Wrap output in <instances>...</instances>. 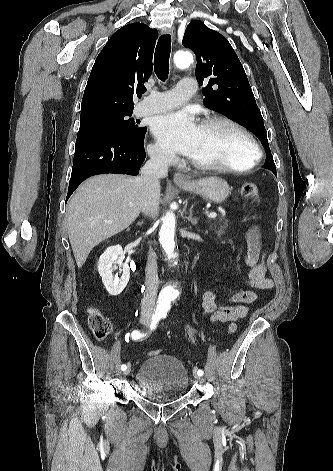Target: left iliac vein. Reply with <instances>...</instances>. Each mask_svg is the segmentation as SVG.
Instances as JSON below:
<instances>
[{
    "mask_svg": "<svg viewBox=\"0 0 333 471\" xmlns=\"http://www.w3.org/2000/svg\"><path fill=\"white\" fill-rule=\"evenodd\" d=\"M193 376L196 380H199L200 379V375H198L196 372L193 373Z\"/></svg>",
    "mask_w": 333,
    "mask_h": 471,
    "instance_id": "4c4485c4",
    "label": "left iliac vein"
}]
</instances>
